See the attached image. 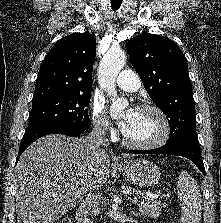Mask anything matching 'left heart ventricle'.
I'll list each match as a JSON object with an SVG mask.
<instances>
[{
  "instance_id": "b2bd125f",
  "label": "left heart ventricle",
  "mask_w": 221,
  "mask_h": 223,
  "mask_svg": "<svg viewBox=\"0 0 221 223\" xmlns=\"http://www.w3.org/2000/svg\"><path fill=\"white\" fill-rule=\"evenodd\" d=\"M161 131L162 123L155 113L137 110L124 134L134 142L148 143L157 139Z\"/></svg>"
}]
</instances>
